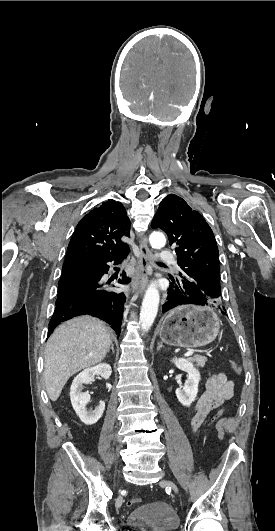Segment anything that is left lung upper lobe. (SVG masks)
<instances>
[{"label": "left lung upper lobe", "mask_w": 275, "mask_h": 531, "mask_svg": "<svg viewBox=\"0 0 275 531\" xmlns=\"http://www.w3.org/2000/svg\"><path fill=\"white\" fill-rule=\"evenodd\" d=\"M175 247L181 271L170 275L168 294L180 303L219 306V255L214 234L199 212L179 196L164 198L151 223Z\"/></svg>", "instance_id": "1"}]
</instances>
